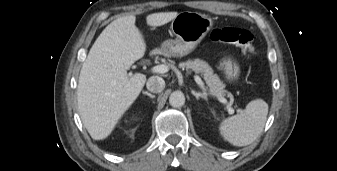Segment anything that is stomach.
Returning <instances> with one entry per match:
<instances>
[{"label": "stomach", "instance_id": "1", "mask_svg": "<svg viewBox=\"0 0 337 171\" xmlns=\"http://www.w3.org/2000/svg\"><path fill=\"white\" fill-rule=\"evenodd\" d=\"M213 26V21L205 14L180 12L171 23L175 40L163 42L161 51L166 56L182 57L191 53ZM218 68L223 70L229 81L237 80L239 65L230 58H224Z\"/></svg>", "mask_w": 337, "mask_h": 171}]
</instances>
